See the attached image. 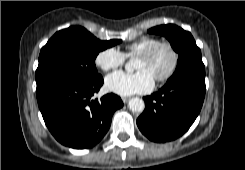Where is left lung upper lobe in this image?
<instances>
[{
  "mask_svg": "<svg viewBox=\"0 0 245 170\" xmlns=\"http://www.w3.org/2000/svg\"><path fill=\"white\" fill-rule=\"evenodd\" d=\"M148 32L165 36L179 54L176 70L170 79L181 75L205 76L201 51L189 32L173 24L157 26Z\"/></svg>",
  "mask_w": 245,
  "mask_h": 170,
  "instance_id": "left-lung-upper-lobe-1",
  "label": "left lung upper lobe"
}]
</instances>
